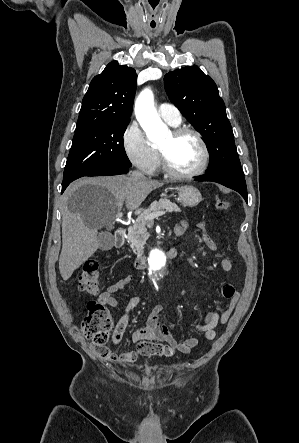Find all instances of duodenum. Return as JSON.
Here are the masks:
<instances>
[{"instance_id":"obj_1","label":"duodenum","mask_w":299,"mask_h":443,"mask_svg":"<svg viewBox=\"0 0 299 443\" xmlns=\"http://www.w3.org/2000/svg\"><path fill=\"white\" fill-rule=\"evenodd\" d=\"M125 228L124 227H119L114 234V246L119 248L122 247L125 241ZM178 255V250L176 248H170L167 253L166 256L167 258H175ZM147 265V260L144 256H137L134 259V267L136 269H144Z\"/></svg>"}]
</instances>
